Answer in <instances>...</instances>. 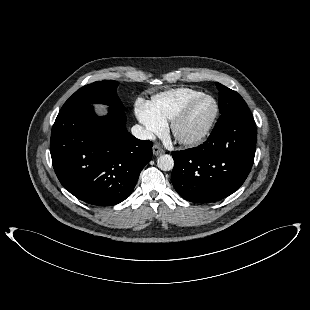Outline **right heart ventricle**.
Instances as JSON below:
<instances>
[{
  "instance_id": "right-heart-ventricle-1",
  "label": "right heart ventricle",
  "mask_w": 310,
  "mask_h": 310,
  "mask_svg": "<svg viewBox=\"0 0 310 310\" xmlns=\"http://www.w3.org/2000/svg\"><path fill=\"white\" fill-rule=\"evenodd\" d=\"M203 94L191 88H176L154 95L149 101L153 112L164 122L170 121L192 98Z\"/></svg>"
}]
</instances>
